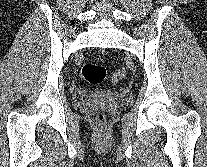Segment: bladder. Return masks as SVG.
<instances>
[{
	"mask_svg": "<svg viewBox=\"0 0 207 167\" xmlns=\"http://www.w3.org/2000/svg\"><path fill=\"white\" fill-rule=\"evenodd\" d=\"M110 95L111 94L108 92H98V93L93 94V97H108Z\"/></svg>",
	"mask_w": 207,
	"mask_h": 167,
	"instance_id": "obj_1",
	"label": "bladder"
}]
</instances>
